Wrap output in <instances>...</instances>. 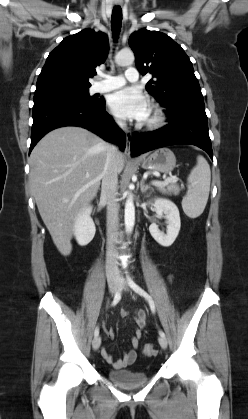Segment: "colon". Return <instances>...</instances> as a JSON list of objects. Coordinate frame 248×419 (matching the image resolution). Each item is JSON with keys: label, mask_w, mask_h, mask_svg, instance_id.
<instances>
[{"label": "colon", "mask_w": 248, "mask_h": 419, "mask_svg": "<svg viewBox=\"0 0 248 419\" xmlns=\"http://www.w3.org/2000/svg\"><path fill=\"white\" fill-rule=\"evenodd\" d=\"M143 352L146 356H153L155 354V348L152 343H146L143 348Z\"/></svg>", "instance_id": "1"}]
</instances>
